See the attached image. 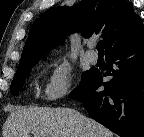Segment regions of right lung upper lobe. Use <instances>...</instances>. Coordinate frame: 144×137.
Wrapping results in <instances>:
<instances>
[{
	"mask_svg": "<svg viewBox=\"0 0 144 137\" xmlns=\"http://www.w3.org/2000/svg\"><path fill=\"white\" fill-rule=\"evenodd\" d=\"M72 32L86 38L101 34L106 54L143 36L144 25L126 0H82L73 7H53L32 24L19 66L40 59Z\"/></svg>",
	"mask_w": 144,
	"mask_h": 137,
	"instance_id": "obj_1",
	"label": "right lung upper lobe"
}]
</instances>
